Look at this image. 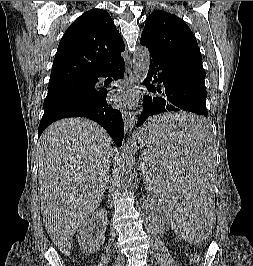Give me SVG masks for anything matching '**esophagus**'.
I'll use <instances>...</instances> for the list:
<instances>
[{
  "label": "esophagus",
  "mask_w": 253,
  "mask_h": 266,
  "mask_svg": "<svg viewBox=\"0 0 253 266\" xmlns=\"http://www.w3.org/2000/svg\"><path fill=\"white\" fill-rule=\"evenodd\" d=\"M125 82L127 86L133 84L134 82V74L130 65L126 69ZM122 116L126 132H131L135 125V113L130 111H123Z\"/></svg>",
  "instance_id": "34e87169"
}]
</instances>
